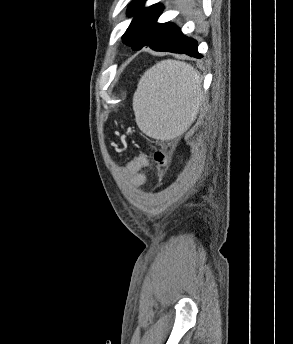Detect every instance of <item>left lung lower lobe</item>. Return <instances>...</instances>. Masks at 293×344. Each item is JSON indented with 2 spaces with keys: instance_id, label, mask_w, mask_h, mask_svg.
Instances as JSON below:
<instances>
[{
  "instance_id": "1",
  "label": "left lung lower lobe",
  "mask_w": 293,
  "mask_h": 344,
  "mask_svg": "<svg viewBox=\"0 0 293 344\" xmlns=\"http://www.w3.org/2000/svg\"><path fill=\"white\" fill-rule=\"evenodd\" d=\"M155 51H167L173 53L187 54L191 57L202 58L198 53V43L192 38L186 37L179 29L177 33L166 43L149 46Z\"/></svg>"
}]
</instances>
